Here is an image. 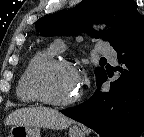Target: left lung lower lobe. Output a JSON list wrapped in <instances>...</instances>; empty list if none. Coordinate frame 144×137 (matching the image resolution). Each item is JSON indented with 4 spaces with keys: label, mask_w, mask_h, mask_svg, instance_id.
Wrapping results in <instances>:
<instances>
[{
    "label": "left lung lower lobe",
    "mask_w": 144,
    "mask_h": 137,
    "mask_svg": "<svg viewBox=\"0 0 144 137\" xmlns=\"http://www.w3.org/2000/svg\"><path fill=\"white\" fill-rule=\"evenodd\" d=\"M122 74L107 91L97 90L84 103L61 110L102 137H139L144 131V21L117 49ZM107 74L97 83L98 89Z\"/></svg>",
    "instance_id": "1"
}]
</instances>
